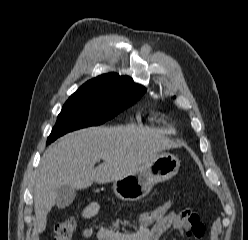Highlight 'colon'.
Here are the masks:
<instances>
[{
  "instance_id": "obj_1",
  "label": "colon",
  "mask_w": 248,
  "mask_h": 240,
  "mask_svg": "<svg viewBox=\"0 0 248 240\" xmlns=\"http://www.w3.org/2000/svg\"><path fill=\"white\" fill-rule=\"evenodd\" d=\"M174 206V200H166L165 202L150 208L137 216L133 220L134 229L149 226L166 216ZM77 227V221L73 217H69L55 225L54 240H72Z\"/></svg>"
}]
</instances>
